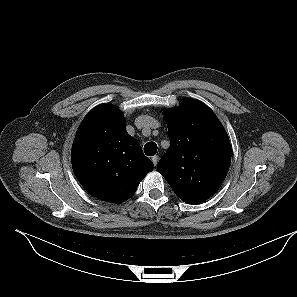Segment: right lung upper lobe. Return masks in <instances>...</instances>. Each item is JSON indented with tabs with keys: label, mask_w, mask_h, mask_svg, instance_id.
<instances>
[{
	"label": "right lung upper lobe",
	"mask_w": 297,
	"mask_h": 297,
	"mask_svg": "<svg viewBox=\"0 0 297 297\" xmlns=\"http://www.w3.org/2000/svg\"><path fill=\"white\" fill-rule=\"evenodd\" d=\"M74 173L94 197L113 203L129 199L154 168L139 142L130 136L123 114L113 105H98L84 118L71 152Z\"/></svg>",
	"instance_id": "cb5924a9"
}]
</instances>
